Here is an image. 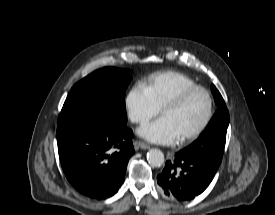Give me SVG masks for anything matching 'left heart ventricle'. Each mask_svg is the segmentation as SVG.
<instances>
[{"label": "left heart ventricle", "mask_w": 275, "mask_h": 215, "mask_svg": "<svg viewBox=\"0 0 275 215\" xmlns=\"http://www.w3.org/2000/svg\"><path fill=\"white\" fill-rule=\"evenodd\" d=\"M208 111V99L203 92H195L174 108H168L163 116L168 118L178 133L179 138L195 130L204 120Z\"/></svg>", "instance_id": "left-heart-ventricle-1"}]
</instances>
